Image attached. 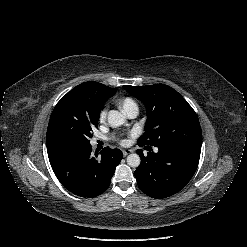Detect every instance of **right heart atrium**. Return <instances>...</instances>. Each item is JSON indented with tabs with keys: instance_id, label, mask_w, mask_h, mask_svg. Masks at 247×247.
<instances>
[{
	"instance_id": "right-heart-atrium-1",
	"label": "right heart atrium",
	"mask_w": 247,
	"mask_h": 247,
	"mask_svg": "<svg viewBox=\"0 0 247 247\" xmlns=\"http://www.w3.org/2000/svg\"><path fill=\"white\" fill-rule=\"evenodd\" d=\"M99 118L100 119H102V118H104V116H105V110L104 109H101L100 111H99Z\"/></svg>"
}]
</instances>
